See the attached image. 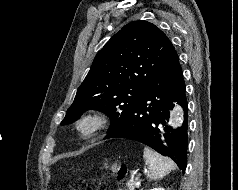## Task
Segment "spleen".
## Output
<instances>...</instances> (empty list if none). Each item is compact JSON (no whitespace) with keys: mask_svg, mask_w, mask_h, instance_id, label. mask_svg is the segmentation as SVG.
<instances>
[{"mask_svg":"<svg viewBox=\"0 0 238 190\" xmlns=\"http://www.w3.org/2000/svg\"><path fill=\"white\" fill-rule=\"evenodd\" d=\"M143 158L145 162L149 164L147 176L150 180L163 178L170 171L176 169L174 161L168 157H163L148 147L144 148Z\"/></svg>","mask_w":238,"mask_h":190,"instance_id":"spleen-1","label":"spleen"}]
</instances>
